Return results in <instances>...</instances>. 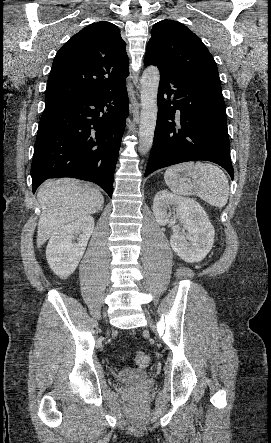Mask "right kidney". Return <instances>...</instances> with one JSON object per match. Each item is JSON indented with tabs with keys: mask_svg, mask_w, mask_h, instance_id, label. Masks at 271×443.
Listing matches in <instances>:
<instances>
[{
	"mask_svg": "<svg viewBox=\"0 0 271 443\" xmlns=\"http://www.w3.org/2000/svg\"><path fill=\"white\" fill-rule=\"evenodd\" d=\"M94 229V218L82 216L75 222L62 225L51 235L47 249V261L54 273L66 279L76 269ZM79 235V237H76ZM77 239V243H73Z\"/></svg>",
	"mask_w": 271,
	"mask_h": 443,
	"instance_id": "1",
	"label": "right kidney"
}]
</instances>
